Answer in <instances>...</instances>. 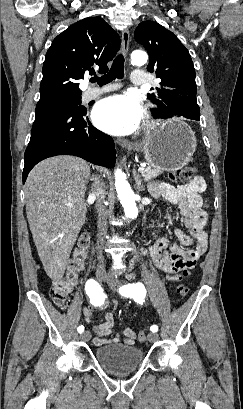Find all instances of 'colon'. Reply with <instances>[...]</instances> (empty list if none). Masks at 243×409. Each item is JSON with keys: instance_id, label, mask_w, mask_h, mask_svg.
Here are the masks:
<instances>
[{"instance_id": "colon-1", "label": "colon", "mask_w": 243, "mask_h": 409, "mask_svg": "<svg viewBox=\"0 0 243 409\" xmlns=\"http://www.w3.org/2000/svg\"><path fill=\"white\" fill-rule=\"evenodd\" d=\"M168 177L173 182L189 181L194 178V169L190 166H184L168 173ZM89 246V238L83 236L79 239L78 246L73 251L66 268V275L64 278L55 280L51 284L50 296L53 302L59 307H65L68 299V295L72 291L78 275L84 268V263L87 257V249ZM184 277L190 275L188 269H184L182 272ZM176 292L180 299H183L188 293V286L185 284L178 285ZM147 332L142 330L138 334L139 341L146 340Z\"/></svg>"}]
</instances>
